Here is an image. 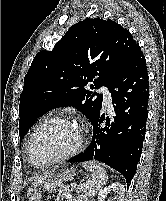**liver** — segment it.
Instances as JSON below:
<instances>
[{
    "label": "liver",
    "mask_w": 166,
    "mask_h": 201,
    "mask_svg": "<svg viewBox=\"0 0 166 201\" xmlns=\"http://www.w3.org/2000/svg\"><path fill=\"white\" fill-rule=\"evenodd\" d=\"M53 175V172L45 173L43 176H40L35 179V181L32 184L33 188H36L40 184L44 183L48 178H50ZM32 188L29 189V193L31 192Z\"/></svg>",
    "instance_id": "liver-1"
}]
</instances>
